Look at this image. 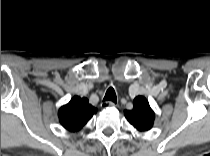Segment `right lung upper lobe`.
Wrapping results in <instances>:
<instances>
[{
    "instance_id": "1",
    "label": "right lung upper lobe",
    "mask_w": 210,
    "mask_h": 156,
    "mask_svg": "<svg viewBox=\"0 0 210 156\" xmlns=\"http://www.w3.org/2000/svg\"><path fill=\"white\" fill-rule=\"evenodd\" d=\"M97 109L89 104L87 98L73 97L70 102L59 109L61 125L71 132L80 130Z\"/></svg>"
}]
</instances>
